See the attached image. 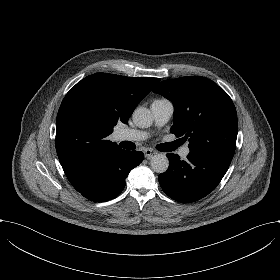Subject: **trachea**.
Here are the masks:
<instances>
[{
  "label": "trachea",
  "instance_id": "1",
  "mask_svg": "<svg viewBox=\"0 0 280 280\" xmlns=\"http://www.w3.org/2000/svg\"><path fill=\"white\" fill-rule=\"evenodd\" d=\"M124 142H121V144ZM180 145H182L181 139H177L173 142H168V143H162L158 145L156 148L161 151V152H171L173 150H176ZM126 149H134L135 145L130 146V147H124Z\"/></svg>",
  "mask_w": 280,
  "mask_h": 280
}]
</instances>
